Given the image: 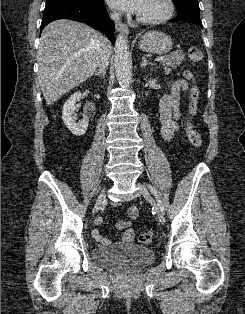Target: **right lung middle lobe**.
<instances>
[{
    "mask_svg": "<svg viewBox=\"0 0 245 314\" xmlns=\"http://www.w3.org/2000/svg\"><path fill=\"white\" fill-rule=\"evenodd\" d=\"M49 1H54V0H47V2ZM75 1H82V2H87V3H98L101 0H75Z\"/></svg>",
    "mask_w": 245,
    "mask_h": 314,
    "instance_id": "dd1d6c3e",
    "label": "right lung middle lobe"
}]
</instances>
